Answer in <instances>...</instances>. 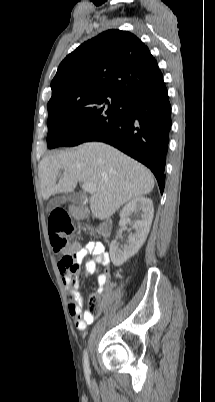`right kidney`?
I'll return each instance as SVG.
<instances>
[{
    "label": "right kidney",
    "mask_w": 215,
    "mask_h": 402,
    "mask_svg": "<svg viewBox=\"0 0 215 402\" xmlns=\"http://www.w3.org/2000/svg\"><path fill=\"white\" fill-rule=\"evenodd\" d=\"M136 213L139 220L131 221L129 216ZM154 216L152 200L143 196L130 200L120 212L119 226L132 224L135 230L128 236L126 244L121 245L117 240L110 244V258L115 266L123 265L129 258L134 256L146 241Z\"/></svg>",
    "instance_id": "obj_1"
}]
</instances>
